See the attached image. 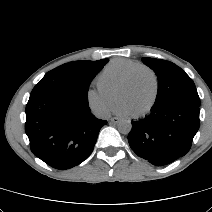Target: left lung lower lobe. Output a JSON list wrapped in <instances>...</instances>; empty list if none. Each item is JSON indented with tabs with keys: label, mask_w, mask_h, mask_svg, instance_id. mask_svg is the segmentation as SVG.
I'll return each instance as SVG.
<instances>
[{
	"label": "left lung lower lobe",
	"mask_w": 212,
	"mask_h": 212,
	"mask_svg": "<svg viewBox=\"0 0 212 212\" xmlns=\"http://www.w3.org/2000/svg\"><path fill=\"white\" fill-rule=\"evenodd\" d=\"M199 106L186 101L154 105L144 119L132 122L131 149L155 166L167 165L187 154L200 125Z\"/></svg>",
	"instance_id": "0a47b994"
}]
</instances>
